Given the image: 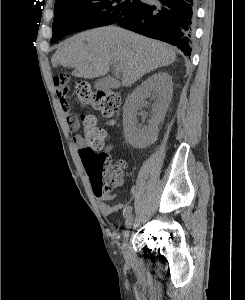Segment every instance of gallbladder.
<instances>
[{
	"mask_svg": "<svg viewBox=\"0 0 245 300\" xmlns=\"http://www.w3.org/2000/svg\"><path fill=\"white\" fill-rule=\"evenodd\" d=\"M117 86L118 81L109 76L101 77L95 82V88L97 89L116 88Z\"/></svg>",
	"mask_w": 245,
	"mask_h": 300,
	"instance_id": "obj_1",
	"label": "gallbladder"
}]
</instances>
